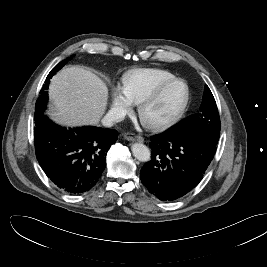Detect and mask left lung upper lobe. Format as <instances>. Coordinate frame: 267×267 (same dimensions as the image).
<instances>
[{
    "instance_id": "left-lung-upper-lobe-1",
    "label": "left lung upper lobe",
    "mask_w": 267,
    "mask_h": 267,
    "mask_svg": "<svg viewBox=\"0 0 267 267\" xmlns=\"http://www.w3.org/2000/svg\"><path fill=\"white\" fill-rule=\"evenodd\" d=\"M220 127L217 105L209 87L206 85L200 112L185 118L173 127L170 132L196 131L212 142L217 143Z\"/></svg>"
}]
</instances>
